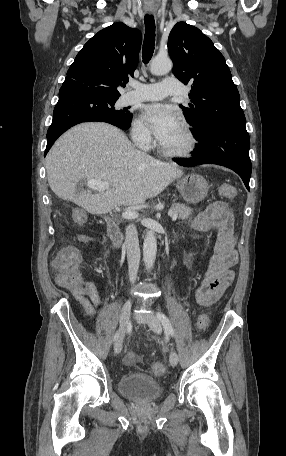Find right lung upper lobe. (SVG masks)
I'll list each match as a JSON object with an SVG mask.
<instances>
[{"instance_id":"1","label":"right lung upper lobe","mask_w":286,"mask_h":456,"mask_svg":"<svg viewBox=\"0 0 286 456\" xmlns=\"http://www.w3.org/2000/svg\"><path fill=\"white\" fill-rule=\"evenodd\" d=\"M141 32L114 23L92 37L77 54L62 86H80L105 100H117L118 87L134 77Z\"/></svg>"}]
</instances>
